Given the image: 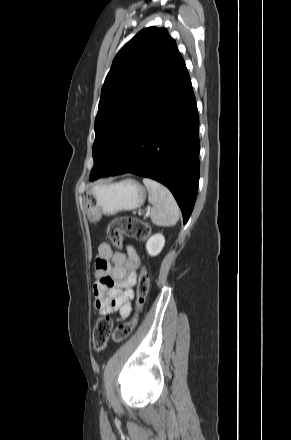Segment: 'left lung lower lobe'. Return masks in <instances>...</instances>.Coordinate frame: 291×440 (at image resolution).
Listing matches in <instances>:
<instances>
[{"label": "left lung lower lobe", "instance_id": "0a47b994", "mask_svg": "<svg viewBox=\"0 0 291 440\" xmlns=\"http://www.w3.org/2000/svg\"><path fill=\"white\" fill-rule=\"evenodd\" d=\"M198 131L196 100L182 61L137 119L100 177L132 173L164 184L180 206L185 224L198 191Z\"/></svg>", "mask_w": 291, "mask_h": 440}]
</instances>
